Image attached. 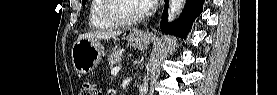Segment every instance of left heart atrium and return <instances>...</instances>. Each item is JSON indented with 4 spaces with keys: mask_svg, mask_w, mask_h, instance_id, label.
Returning <instances> with one entry per match:
<instances>
[{
    "mask_svg": "<svg viewBox=\"0 0 277 95\" xmlns=\"http://www.w3.org/2000/svg\"><path fill=\"white\" fill-rule=\"evenodd\" d=\"M144 7H152L153 5H155L156 3H158V0H140Z\"/></svg>",
    "mask_w": 277,
    "mask_h": 95,
    "instance_id": "obj_1",
    "label": "left heart atrium"
}]
</instances>
